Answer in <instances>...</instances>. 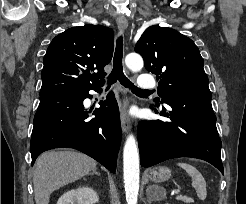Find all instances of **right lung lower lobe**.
Listing matches in <instances>:
<instances>
[{
  "label": "right lung lower lobe",
  "instance_id": "1",
  "mask_svg": "<svg viewBox=\"0 0 246 204\" xmlns=\"http://www.w3.org/2000/svg\"><path fill=\"white\" fill-rule=\"evenodd\" d=\"M101 86L87 89H67L40 95L34 117L30 142L32 165L44 151L69 147L77 149L115 172L121 143V127L117 102L112 92L100 108L88 119L83 100L91 98L88 91H100Z\"/></svg>",
  "mask_w": 246,
  "mask_h": 204
}]
</instances>
